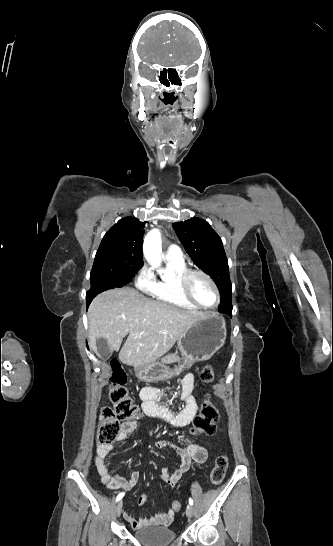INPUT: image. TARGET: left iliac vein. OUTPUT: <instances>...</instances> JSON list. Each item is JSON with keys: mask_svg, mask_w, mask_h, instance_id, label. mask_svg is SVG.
Instances as JSON below:
<instances>
[{"mask_svg": "<svg viewBox=\"0 0 333 546\" xmlns=\"http://www.w3.org/2000/svg\"><path fill=\"white\" fill-rule=\"evenodd\" d=\"M186 515L188 517H191L193 515V507L192 505H188L187 508H186Z\"/></svg>", "mask_w": 333, "mask_h": 546, "instance_id": "left-iliac-vein-1", "label": "left iliac vein"}]
</instances>
